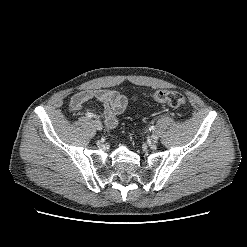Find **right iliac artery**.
Wrapping results in <instances>:
<instances>
[{
	"instance_id": "82829eb1",
	"label": "right iliac artery",
	"mask_w": 247,
	"mask_h": 247,
	"mask_svg": "<svg viewBox=\"0 0 247 247\" xmlns=\"http://www.w3.org/2000/svg\"><path fill=\"white\" fill-rule=\"evenodd\" d=\"M94 115H92L91 113H86V117L88 118H92ZM95 117V116H94Z\"/></svg>"
}]
</instances>
